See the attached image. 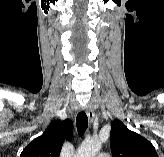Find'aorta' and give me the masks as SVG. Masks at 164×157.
I'll use <instances>...</instances> for the list:
<instances>
[{"label": "aorta", "mask_w": 164, "mask_h": 157, "mask_svg": "<svg viewBox=\"0 0 164 157\" xmlns=\"http://www.w3.org/2000/svg\"><path fill=\"white\" fill-rule=\"evenodd\" d=\"M100 149L101 143L99 141H86L78 148L75 157H95Z\"/></svg>", "instance_id": "1"}]
</instances>
